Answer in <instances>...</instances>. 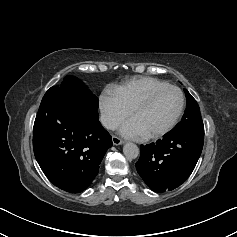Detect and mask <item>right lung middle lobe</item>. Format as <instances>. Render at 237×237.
Instances as JSON below:
<instances>
[{
	"instance_id": "right-lung-middle-lobe-1",
	"label": "right lung middle lobe",
	"mask_w": 237,
	"mask_h": 237,
	"mask_svg": "<svg viewBox=\"0 0 237 237\" xmlns=\"http://www.w3.org/2000/svg\"><path fill=\"white\" fill-rule=\"evenodd\" d=\"M53 87L59 88V91L63 92L69 100L78 105L98 108V98L76 77L67 76L60 85Z\"/></svg>"
}]
</instances>
